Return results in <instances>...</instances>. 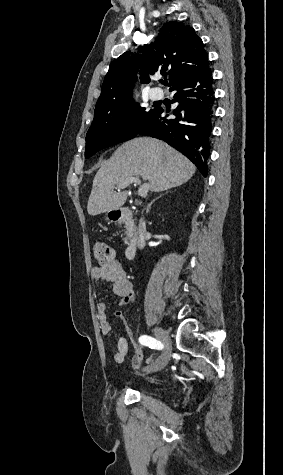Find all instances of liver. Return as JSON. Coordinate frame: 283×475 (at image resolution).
<instances>
[{"label":"liver","instance_id":"1","mask_svg":"<svg viewBox=\"0 0 283 475\" xmlns=\"http://www.w3.org/2000/svg\"><path fill=\"white\" fill-rule=\"evenodd\" d=\"M196 168L183 154L155 138H134L115 150L110 160L98 170L87 204L90 216L119 210L128 192H112L126 178L141 176L148 180L151 192H164L182 186Z\"/></svg>","mask_w":283,"mask_h":475}]
</instances>
